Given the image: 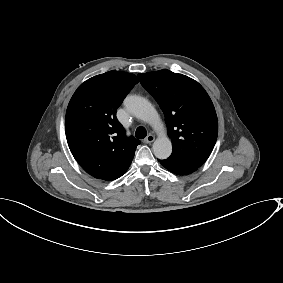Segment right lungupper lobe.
<instances>
[{
  "label": "right lung upper lobe",
  "instance_id": "cb5924a9",
  "mask_svg": "<svg viewBox=\"0 0 283 283\" xmlns=\"http://www.w3.org/2000/svg\"><path fill=\"white\" fill-rule=\"evenodd\" d=\"M138 78L109 71L94 76L73 94L66 112L65 132L71 153L80 166L97 179L122 176L140 141L128 138L116 118L117 108Z\"/></svg>",
  "mask_w": 283,
  "mask_h": 283
}]
</instances>
